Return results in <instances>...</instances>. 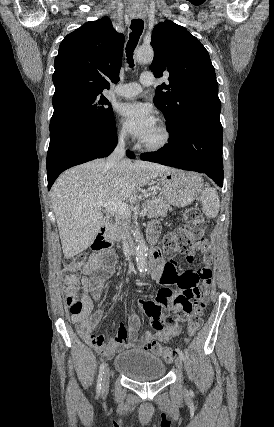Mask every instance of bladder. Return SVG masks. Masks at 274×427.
Wrapping results in <instances>:
<instances>
[{
  "label": "bladder",
  "mask_w": 274,
  "mask_h": 427,
  "mask_svg": "<svg viewBox=\"0 0 274 427\" xmlns=\"http://www.w3.org/2000/svg\"><path fill=\"white\" fill-rule=\"evenodd\" d=\"M113 365L117 374L134 380L165 377L167 371L165 361L146 349H131L118 353Z\"/></svg>",
  "instance_id": "31cf9c89"
}]
</instances>
